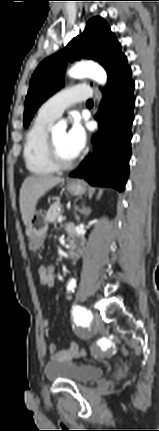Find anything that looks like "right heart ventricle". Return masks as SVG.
Here are the masks:
<instances>
[{
    "instance_id": "right-heart-ventricle-1",
    "label": "right heart ventricle",
    "mask_w": 159,
    "mask_h": 431,
    "mask_svg": "<svg viewBox=\"0 0 159 431\" xmlns=\"http://www.w3.org/2000/svg\"><path fill=\"white\" fill-rule=\"evenodd\" d=\"M54 119L38 113L25 136L23 158L27 170L35 175H50L57 171L47 155L48 126Z\"/></svg>"
}]
</instances>
